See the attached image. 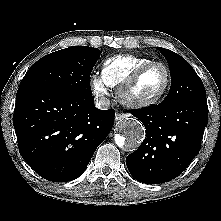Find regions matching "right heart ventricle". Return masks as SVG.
Returning <instances> with one entry per match:
<instances>
[{
    "instance_id": "obj_1",
    "label": "right heart ventricle",
    "mask_w": 221,
    "mask_h": 221,
    "mask_svg": "<svg viewBox=\"0 0 221 221\" xmlns=\"http://www.w3.org/2000/svg\"><path fill=\"white\" fill-rule=\"evenodd\" d=\"M153 60L144 56L118 55L103 63L102 78L107 86L119 87L139 67Z\"/></svg>"
}]
</instances>
